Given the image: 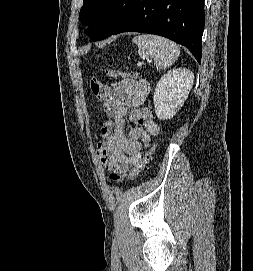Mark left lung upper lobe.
<instances>
[{"label":"left lung upper lobe","instance_id":"obj_1","mask_svg":"<svg viewBox=\"0 0 253 271\" xmlns=\"http://www.w3.org/2000/svg\"><path fill=\"white\" fill-rule=\"evenodd\" d=\"M133 7V0H84L80 20L91 25L90 41L110 36L125 20Z\"/></svg>","mask_w":253,"mask_h":271}]
</instances>
